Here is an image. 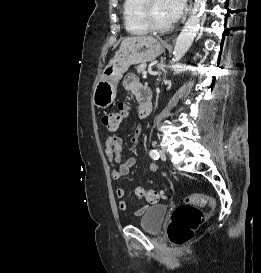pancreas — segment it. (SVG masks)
I'll list each match as a JSON object with an SVG mask.
<instances>
[{"mask_svg":"<svg viewBox=\"0 0 261 273\" xmlns=\"http://www.w3.org/2000/svg\"><path fill=\"white\" fill-rule=\"evenodd\" d=\"M146 67H147V65H146L145 63L138 65V66L136 67L137 73H139V74H140V73H144L145 70H146Z\"/></svg>","mask_w":261,"mask_h":273,"instance_id":"1","label":"pancreas"}]
</instances>
